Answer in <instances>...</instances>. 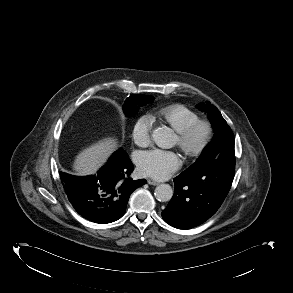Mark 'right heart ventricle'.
<instances>
[{"label": "right heart ventricle", "mask_w": 293, "mask_h": 293, "mask_svg": "<svg viewBox=\"0 0 293 293\" xmlns=\"http://www.w3.org/2000/svg\"><path fill=\"white\" fill-rule=\"evenodd\" d=\"M159 117L177 133L199 119L196 112L182 104H173L159 110Z\"/></svg>", "instance_id": "1"}]
</instances>
